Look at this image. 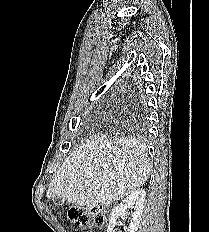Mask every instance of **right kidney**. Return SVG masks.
<instances>
[{
    "label": "right kidney",
    "instance_id": "right-kidney-1",
    "mask_svg": "<svg viewBox=\"0 0 209 232\" xmlns=\"http://www.w3.org/2000/svg\"><path fill=\"white\" fill-rule=\"evenodd\" d=\"M146 192L144 189H137L128 195L122 202L113 209L109 221L107 232H115V226L120 217L127 214V209L130 205L134 206V212L130 220V225L126 227V232H136L141 220L143 204L145 201Z\"/></svg>",
    "mask_w": 209,
    "mask_h": 232
}]
</instances>
